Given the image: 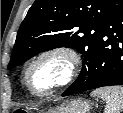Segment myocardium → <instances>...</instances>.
Returning a JSON list of instances; mask_svg holds the SVG:
<instances>
[{
	"label": "myocardium",
	"instance_id": "1",
	"mask_svg": "<svg viewBox=\"0 0 123 113\" xmlns=\"http://www.w3.org/2000/svg\"><path fill=\"white\" fill-rule=\"evenodd\" d=\"M54 60L60 62V70L57 77L44 90H35L30 83L31 72L43 62ZM81 64V55L75 48L69 45L48 47L34 55L26 64L23 70V83L31 95L46 97L73 82L79 75Z\"/></svg>",
	"mask_w": 123,
	"mask_h": 113
}]
</instances>
